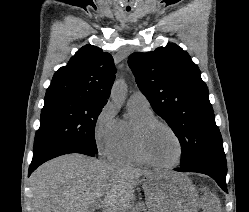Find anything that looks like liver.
Wrapping results in <instances>:
<instances>
[{"mask_svg":"<svg viewBox=\"0 0 249 212\" xmlns=\"http://www.w3.org/2000/svg\"><path fill=\"white\" fill-rule=\"evenodd\" d=\"M174 172H147L138 168L111 166L82 154H67L39 166L30 178L33 212H95L101 202L103 212H127L134 198V188L141 176L147 196L162 198ZM103 198V200H101ZM204 212H220L217 196H203L199 202ZM150 210L160 212V200L149 202Z\"/></svg>","mask_w":249,"mask_h":212,"instance_id":"6515ba94","label":"liver"}]
</instances>
